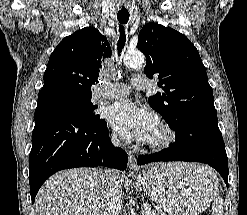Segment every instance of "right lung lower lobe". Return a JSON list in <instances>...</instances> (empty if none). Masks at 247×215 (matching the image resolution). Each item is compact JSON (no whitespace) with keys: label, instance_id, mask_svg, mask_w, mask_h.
Wrapping results in <instances>:
<instances>
[{"label":"right lung lower lobe","instance_id":"obj_1","mask_svg":"<svg viewBox=\"0 0 247 215\" xmlns=\"http://www.w3.org/2000/svg\"><path fill=\"white\" fill-rule=\"evenodd\" d=\"M101 165L127 168V154L113 148L104 120L84 119L53 105L38 103L29 156L32 202L42 184L55 172Z\"/></svg>","mask_w":247,"mask_h":215}]
</instances>
